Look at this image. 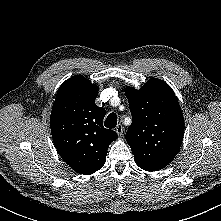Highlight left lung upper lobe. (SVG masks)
Returning a JSON list of instances; mask_svg holds the SVG:
<instances>
[{"label":"left lung upper lobe","instance_id":"obj_1","mask_svg":"<svg viewBox=\"0 0 221 221\" xmlns=\"http://www.w3.org/2000/svg\"><path fill=\"white\" fill-rule=\"evenodd\" d=\"M132 114L126 133L136 164L146 171L166 167L177 155L184 136V118L171 87L150 79L136 90L125 89Z\"/></svg>","mask_w":221,"mask_h":221}]
</instances>
